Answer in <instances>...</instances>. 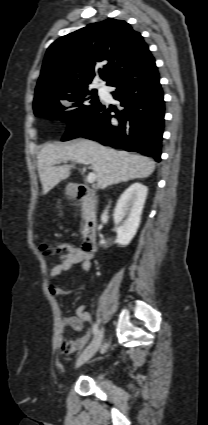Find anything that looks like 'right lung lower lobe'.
<instances>
[{"mask_svg": "<svg viewBox=\"0 0 208 425\" xmlns=\"http://www.w3.org/2000/svg\"><path fill=\"white\" fill-rule=\"evenodd\" d=\"M159 73L151 53L121 70L107 85L122 111L101 104L69 121L63 141L84 137L105 146L135 151L160 161L164 100ZM116 115H112V112Z\"/></svg>", "mask_w": 208, "mask_h": 425, "instance_id": "98d812e1", "label": "right lung lower lobe"}]
</instances>
